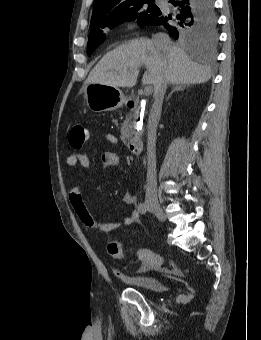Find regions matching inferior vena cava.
<instances>
[{
  "label": "inferior vena cava",
  "mask_w": 261,
  "mask_h": 340,
  "mask_svg": "<svg viewBox=\"0 0 261 340\" xmlns=\"http://www.w3.org/2000/svg\"><path fill=\"white\" fill-rule=\"evenodd\" d=\"M153 43L159 52H167L171 47L168 35L158 33L153 36ZM167 89V81H162L155 87L154 103L152 105L147 131V180L146 198L157 199V172H156V132L161 115L164 94Z\"/></svg>",
  "instance_id": "inferior-vena-cava-1"
}]
</instances>
